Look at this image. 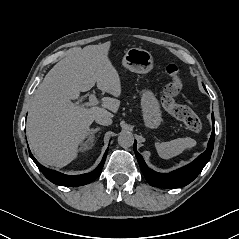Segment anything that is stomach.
Segmentation results:
<instances>
[{
	"instance_id": "stomach-1",
	"label": "stomach",
	"mask_w": 239,
	"mask_h": 239,
	"mask_svg": "<svg viewBox=\"0 0 239 239\" xmlns=\"http://www.w3.org/2000/svg\"><path fill=\"white\" fill-rule=\"evenodd\" d=\"M122 64L131 72L146 74L153 69V57L147 50L130 48L126 51ZM141 108L146 127L157 128L162 121L160 104L149 89H145L142 93Z\"/></svg>"
}]
</instances>
